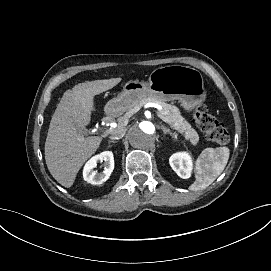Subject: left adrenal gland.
Returning a JSON list of instances; mask_svg holds the SVG:
<instances>
[{"label": "left adrenal gland", "instance_id": "1", "mask_svg": "<svg viewBox=\"0 0 271 271\" xmlns=\"http://www.w3.org/2000/svg\"><path fill=\"white\" fill-rule=\"evenodd\" d=\"M161 129L163 130L164 135L168 134L170 137H172L170 130L167 127H165L164 124L161 125Z\"/></svg>", "mask_w": 271, "mask_h": 271}]
</instances>
